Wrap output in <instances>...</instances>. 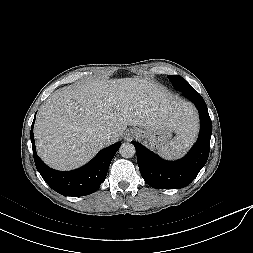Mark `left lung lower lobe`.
Here are the masks:
<instances>
[{
	"label": "left lung lower lobe",
	"mask_w": 253,
	"mask_h": 253,
	"mask_svg": "<svg viewBox=\"0 0 253 253\" xmlns=\"http://www.w3.org/2000/svg\"><path fill=\"white\" fill-rule=\"evenodd\" d=\"M183 94L197 107L200 114V133L188 154L177 161H165L138 142L132 141L137 163L144 181L156 189H178L189 185L205 165L210 148L212 122L202 96L192 87Z\"/></svg>",
	"instance_id": "left-lung-lower-lobe-1"
}]
</instances>
